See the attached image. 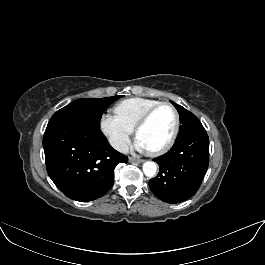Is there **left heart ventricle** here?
Segmentation results:
<instances>
[{
	"mask_svg": "<svg viewBox=\"0 0 265 265\" xmlns=\"http://www.w3.org/2000/svg\"><path fill=\"white\" fill-rule=\"evenodd\" d=\"M174 122L172 110L167 107L161 108L140 129L137 137L146 145L148 150L158 148L170 137Z\"/></svg>",
	"mask_w": 265,
	"mask_h": 265,
	"instance_id": "left-heart-ventricle-1",
	"label": "left heart ventricle"
}]
</instances>
